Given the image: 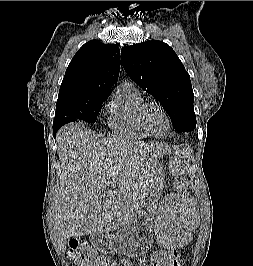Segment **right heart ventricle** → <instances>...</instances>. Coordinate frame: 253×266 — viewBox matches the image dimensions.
Here are the masks:
<instances>
[{
  "label": "right heart ventricle",
  "mask_w": 253,
  "mask_h": 266,
  "mask_svg": "<svg viewBox=\"0 0 253 266\" xmlns=\"http://www.w3.org/2000/svg\"><path fill=\"white\" fill-rule=\"evenodd\" d=\"M144 103L141 91L134 84L122 83L108 106L107 120L111 130L125 138H148L149 135L141 127L138 119L139 110Z\"/></svg>",
  "instance_id": "e07e8e85"
}]
</instances>
